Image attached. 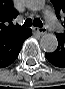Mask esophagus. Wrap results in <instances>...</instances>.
I'll return each mask as SVG.
<instances>
[{
    "label": "esophagus",
    "mask_w": 65,
    "mask_h": 89,
    "mask_svg": "<svg viewBox=\"0 0 65 89\" xmlns=\"http://www.w3.org/2000/svg\"><path fill=\"white\" fill-rule=\"evenodd\" d=\"M32 29L34 32L38 33L39 35H44L47 32L46 29L44 28L33 27Z\"/></svg>",
    "instance_id": "34e87169"
}]
</instances>
